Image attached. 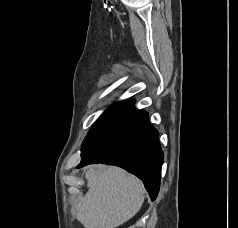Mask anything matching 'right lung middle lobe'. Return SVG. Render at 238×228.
<instances>
[{
  "mask_svg": "<svg viewBox=\"0 0 238 228\" xmlns=\"http://www.w3.org/2000/svg\"><path fill=\"white\" fill-rule=\"evenodd\" d=\"M118 119L116 116L104 117L101 116L97 123H95L92 128L89 130L87 136L83 141V145L89 142L92 138H94L100 131H102L105 127H107L111 122Z\"/></svg>",
  "mask_w": 238,
  "mask_h": 228,
  "instance_id": "dd1d6c3e",
  "label": "right lung middle lobe"
}]
</instances>
